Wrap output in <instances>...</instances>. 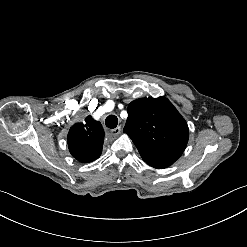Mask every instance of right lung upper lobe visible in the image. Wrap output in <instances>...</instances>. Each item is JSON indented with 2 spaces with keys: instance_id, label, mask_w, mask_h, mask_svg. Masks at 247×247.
Segmentation results:
<instances>
[{
  "instance_id": "cb5924a9",
  "label": "right lung upper lobe",
  "mask_w": 247,
  "mask_h": 247,
  "mask_svg": "<svg viewBox=\"0 0 247 247\" xmlns=\"http://www.w3.org/2000/svg\"><path fill=\"white\" fill-rule=\"evenodd\" d=\"M86 124H74L68 133V146L71 155L82 163L92 162L102 152L104 131L100 122L91 116L85 119Z\"/></svg>"
}]
</instances>
